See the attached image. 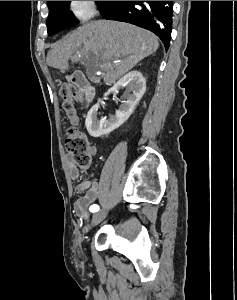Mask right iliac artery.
I'll use <instances>...</instances> for the list:
<instances>
[{
	"mask_svg": "<svg viewBox=\"0 0 237 300\" xmlns=\"http://www.w3.org/2000/svg\"><path fill=\"white\" fill-rule=\"evenodd\" d=\"M89 210H90L91 212H93V213H94V212H97V211H99V206L96 205V204H93V205L90 206Z\"/></svg>",
	"mask_w": 237,
	"mask_h": 300,
	"instance_id": "right-iliac-artery-1",
	"label": "right iliac artery"
}]
</instances>
